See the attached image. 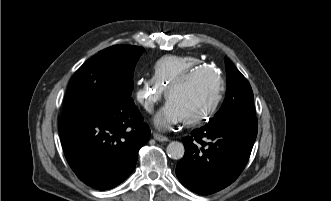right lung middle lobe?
<instances>
[{
    "label": "right lung middle lobe",
    "instance_id": "obj_1",
    "mask_svg": "<svg viewBox=\"0 0 331 201\" xmlns=\"http://www.w3.org/2000/svg\"><path fill=\"white\" fill-rule=\"evenodd\" d=\"M143 47L115 45L87 60L70 80L62 115L130 98Z\"/></svg>",
    "mask_w": 331,
    "mask_h": 201
}]
</instances>
